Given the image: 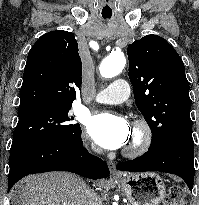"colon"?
Listing matches in <instances>:
<instances>
[{"instance_id": "obj_1", "label": "colon", "mask_w": 199, "mask_h": 205, "mask_svg": "<svg viewBox=\"0 0 199 205\" xmlns=\"http://www.w3.org/2000/svg\"><path fill=\"white\" fill-rule=\"evenodd\" d=\"M183 204V191L180 187H172L168 194L165 196L164 205H182Z\"/></svg>"}]
</instances>
